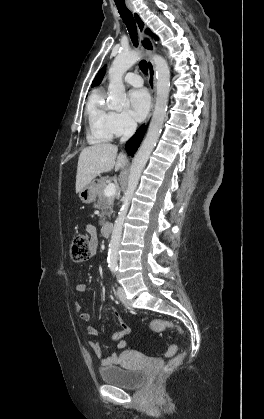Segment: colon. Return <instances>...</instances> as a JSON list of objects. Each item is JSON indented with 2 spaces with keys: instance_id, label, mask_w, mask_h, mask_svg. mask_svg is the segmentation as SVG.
<instances>
[{
  "instance_id": "obj_1",
  "label": "colon",
  "mask_w": 264,
  "mask_h": 419,
  "mask_svg": "<svg viewBox=\"0 0 264 419\" xmlns=\"http://www.w3.org/2000/svg\"><path fill=\"white\" fill-rule=\"evenodd\" d=\"M70 255L73 261L75 262H83L89 259L91 255V244L90 239L85 234H78L74 237L71 249H70ZM150 329L154 332H160L165 329H177L180 332H182V329L174 322L169 320H162V319H156L152 320L149 324ZM177 346L171 345L168 347L166 351L167 356H173L165 365L164 371L165 372H171L174 370L183 360L184 354H177Z\"/></svg>"
}]
</instances>
